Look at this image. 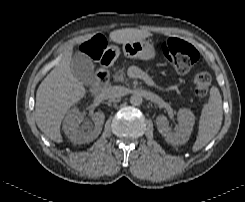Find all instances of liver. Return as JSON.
Listing matches in <instances>:
<instances>
[{
  "label": "liver",
  "instance_id": "6515ba94",
  "mask_svg": "<svg viewBox=\"0 0 245 202\" xmlns=\"http://www.w3.org/2000/svg\"><path fill=\"white\" fill-rule=\"evenodd\" d=\"M152 34L145 30L126 28L112 31L110 40L124 44L145 39ZM92 34L73 39L64 51L62 59L41 82L36 92L35 120L39 129L57 143L63 141L61 122L69 108L86 94L83 83L75 78L70 69L74 45L90 40Z\"/></svg>",
  "mask_w": 245,
  "mask_h": 202
}]
</instances>
